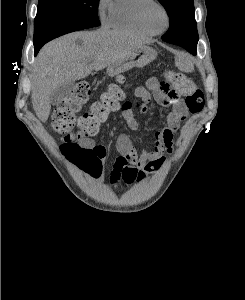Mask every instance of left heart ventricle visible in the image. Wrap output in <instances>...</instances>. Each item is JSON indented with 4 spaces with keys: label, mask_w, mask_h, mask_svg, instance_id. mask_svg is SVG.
Masks as SVG:
<instances>
[{
    "label": "left heart ventricle",
    "mask_w": 245,
    "mask_h": 300,
    "mask_svg": "<svg viewBox=\"0 0 245 300\" xmlns=\"http://www.w3.org/2000/svg\"><path fill=\"white\" fill-rule=\"evenodd\" d=\"M147 19L151 27L155 29L161 28L164 25V16L156 7L149 8L147 12Z\"/></svg>",
    "instance_id": "1"
}]
</instances>
